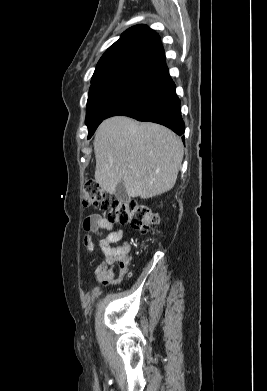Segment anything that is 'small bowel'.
<instances>
[{
    "instance_id": "1",
    "label": "small bowel",
    "mask_w": 267,
    "mask_h": 391,
    "mask_svg": "<svg viewBox=\"0 0 267 391\" xmlns=\"http://www.w3.org/2000/svg\"><path fill=\"white\" fill-rule=\"evenodd\" d=\"M84 229L89 232L107 231L108 234L101 241L100 247L105 256L104 261L95 269L97 279L103 284L118 283L122 280L127 271L126 261L129 259L131 246L128 241L123 240V231L116 229L112 222L98 214L89 215L84 220ZM119 246H113L121 242ZM84 243L89 252L94 249L91 237H86ZM118 264L119 272L116 276L114 266Z\"/></svg>"
}]
</instances>
